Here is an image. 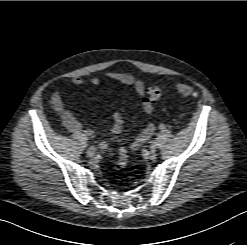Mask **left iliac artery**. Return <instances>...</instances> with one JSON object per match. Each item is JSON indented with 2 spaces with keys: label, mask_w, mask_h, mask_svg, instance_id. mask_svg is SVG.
Returning a JSON list of instances; mask_svg holds the SVG:
<instances>
[{
  "label": "left iliac artery",
  "mask_w": 247,
  "mask_h": 245,
  "mask_svg": "<svg viewBox=\"0 0 247 245\" xmlns=\"http://www.w3.org/2000/svg\"><path fill=\"white\" fill-rule=\"evenodd\" d=\"M161 130L165 129V125L164 124H161L160 127H159Z\"/></svg>",
  "instance_id": "1"
}]
</instances>
